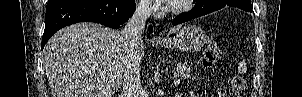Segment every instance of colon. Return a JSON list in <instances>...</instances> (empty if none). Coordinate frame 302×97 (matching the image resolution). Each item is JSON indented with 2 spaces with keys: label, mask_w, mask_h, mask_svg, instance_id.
I'll return each mask as SVG.
<instances>
[{
  "label": "colon",
  "mask_w": 302,
  "mask_h": 97,
  "mask_svg": "<svg viewBox=\"0 0 302 97\" xmlns=\"http://www.w3.org/2000/svg\"><path fill=\"white\" fill-rule=\"evenodd\" d=\"M220 49L215 43H209L202 52L201 65L204 69H211L219 59ZM230 97H240V93L246 88V82L242 77L235 76L231 79Z\"/></svg>",
  "instance_id": "colon-1"
}]
</instances>
